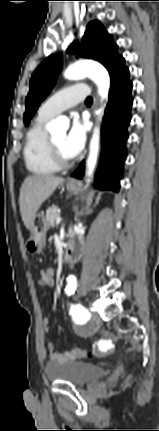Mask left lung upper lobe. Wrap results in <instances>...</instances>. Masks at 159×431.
Here are the masks:
<instances>
[{
  "mask_svg": "<svg viewBox=\"0 0 159 431\" xmlns=\"http://www.w3.org/2000/svg\"><path fill=\"white\" fill-rule=\"evenodd\" d=\"M73 51L77 57L92 58L100 61L112 77L119 69L125 66V60L117 53V45L113 43L98 21L88 24L82 42L71 44L67 52ZM62 68V55L48 56L34 71L30 80V91L26 97V111L24 123L29 124L32 116L38 109L41 101L50 92L56 81V76Z\"/></svg>",
  "mask_w": 159,
  "mask_h": 431,
  "instance_id": "left-lung-upper-lobe-1",
  "label": "left lung upper lobe"
}]
</instances>
